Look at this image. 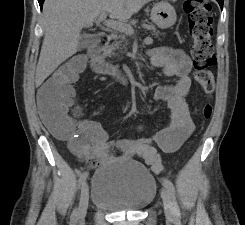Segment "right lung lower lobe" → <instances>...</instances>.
Wrapping results in <instances>:
<instances>
[{
  "label": "right lung lower lobe",
  "instance_id": "right-lung-lower-lobe-1",
  "mask_svg": "<svg viewBox=\"0 0 245 225\" xmlns=\"http://www.w3.org/2000/svg\"><path fill=\"white\" fill-rule=\"evenodd\" d=\"M38 2H39V5H40V8L42 9L44 0H38Z\"/></svg>",
  "mask_w": 245,
  "mask_h": 225
}]
</instances>
